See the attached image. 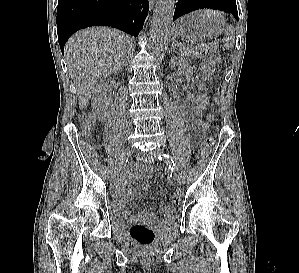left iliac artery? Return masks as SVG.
<instances>
[{"instance_id": "1", "label": "left iliac artery", "mask_w": 299, "mask_h": 273, "mask_svg": "<svg viewBox=\"0 0 299 273\" xmlns=\"http://www.w3.org/2000/svg\"><path fill=\"white\" fill-rule=\"evenodd\" d=\"M158 159L165 160L166 163L168 164L169 168L172 170L177 168L174 160L171 157H169V155H167V154L159 155Z\"/></svg>"}]
</instances>
